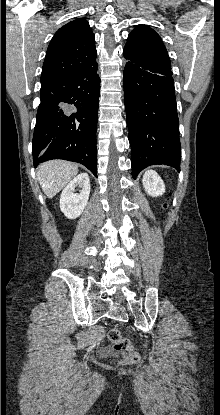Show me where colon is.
<instances>
[{"instance_id": "1", "label": "colon", "mask_w": 220, "mask_h": 415, "mask_svg": "<svg viewBox=\"0 0 220 415\" xmlns=\"http://www.w3.org/2000/svg\"><path fill=\"white\" fill-rule=\"evenodd\" d=\"M108 338L114 345L115 350L121 354L123 363L133 364L138 361V355L133 350L131 342L124 338L116 327L109 329Z\"/></svg>"}]
</instances>
